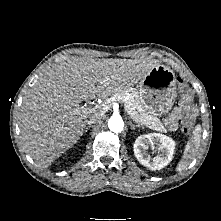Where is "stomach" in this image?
I'll return each instance as SVG.
<instances>
[{
  "mask_svg": "<svg viewBox=\"0 0 221 221\" xmlns=\"http://www.w3.org/2000/svg\"><path fill=\"white\" fill-rule=\"evenodd\" d=\"M176 89L174 72L165 65H157L140 80L138 96L146 112L162 116L171 110Z\"/></svg>",
  "mask_w": 221,
  "mask_h": 221,
  "instance_id": "stomach-1",
  "label": "stomach"
}]
</instances>
